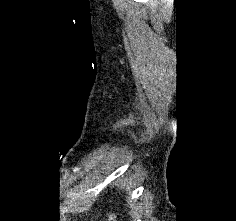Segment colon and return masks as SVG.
Instances as JSON below:
<instances>
[{"mask_svg": "<svg viewBox=\"0 0 236 221\" xmlns=\"http://www.w3.org/2000/svg\"><path fill=\"white\" fill-rule=\"evenodd\" d=\"M113 219H114L113 215H110L108 218L109 221H112Z\"/></svg>", "mask_w": 236, "mask_h": 221, "instance_id": "colon-1", "label": "colon"}]
</instances>
